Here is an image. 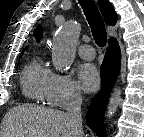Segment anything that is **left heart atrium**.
Instances as JSON below:
<instances>
[{"mask_svg": "<svg viewBox=\"0 0 144 137\" xmlns=\"http://www.w3.org/2000/svg\"><path fill=\"white\" fill-rule=\"evenodd\" d=\"M78 79L85 92H93L100 85V77L96 67L92 64H83L79 68Z\"/></svg>", "mask_w": 144, "mask_h": 137, "instance_id": "1", "label": "left heart atrium"}]
</instances>
